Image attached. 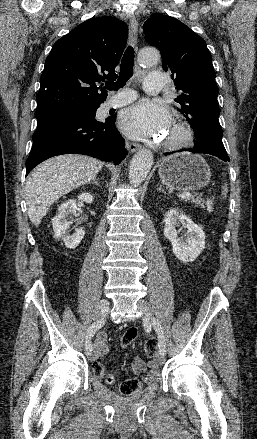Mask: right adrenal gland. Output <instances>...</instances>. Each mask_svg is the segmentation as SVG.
Listing matches in <instances>:
<instances>
[{
  "mask_svg": "<svg viewBox=\"0 0 257 439\" xmlns=\"http://www.w3.org/2000/svg\"><path fill=\"white\" fill-rule=\"evenodd\" d=\"M89 183H90V184H95V185L99 186V183H98V181H97L96 178H94V180L91 181V182H89Z\"/></svg>",
  "mask_w": 257,
  "mask_h": 439,
  "instance_id": "1",
  "label": "right adrenal gland"
}]
</instances>
